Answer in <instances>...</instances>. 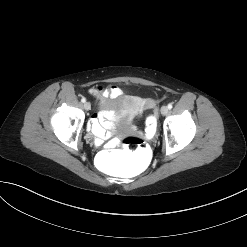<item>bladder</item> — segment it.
Listing matches in <instances>:
<instances>
[{"instance_id":"31cf9c89","label":"bladder","mask_w":247,"mask_h":247,"mask_svg":"<svg viewBox=\"0 0 247 247\" xmlns=\"http://www.w3.org/2000/svg\"><path fill=\"white\" fill-rule=\"evenodd\" d=\"M135 101L131 96L119 94L106 97L100 107V114L105 116H128L135 113Z\"/></svg>"}]
</instances>
